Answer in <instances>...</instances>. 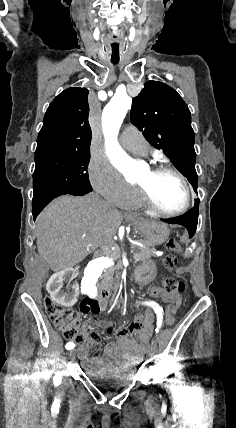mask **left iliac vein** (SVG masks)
Instances as JSON below:
<instances>
[{
  "label": "left iliac vein",
  "mask_w": 236,
  "mask_h": 428,
  "mask_svg": "<svg viewBox=\"0 0 236 428\" xmlns=\"http://www.w3.org/2000/svg\"><path fill=\"white\" fill-rule=\"evenodd\" d=\"M155 343L153 342L152 344H151V346H150V351H149V354L151 355V356H156L157 355V350H156V348H155Z\"/></svg>",
  "instance_id": "left-iliac-vein-1"
}]
</instances>
